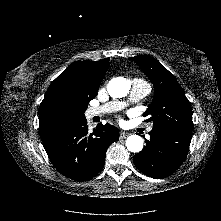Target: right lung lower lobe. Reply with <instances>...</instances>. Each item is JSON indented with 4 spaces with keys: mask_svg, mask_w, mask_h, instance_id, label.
I'll return each instance as SVG.
<instances>
[{
    "mask_svg": "<svg viewBox=\"0 0 221 221\" xmlns=\"http://www.w3.org/2000/svg\"><path fill=\"white\" fill-rule=\"evenodd\" d=\"M118 139V129L108 123H100L90 132L84 117L43 145L50 161L61 174L75 181H85L100 171L108 147Z\"/></svg>",
    "mask_w": 221,
    "mask_h": 221,
    "instance_id": "1",
    "label": "right lung lower lobe"
}]
</instances>
